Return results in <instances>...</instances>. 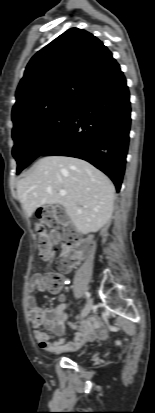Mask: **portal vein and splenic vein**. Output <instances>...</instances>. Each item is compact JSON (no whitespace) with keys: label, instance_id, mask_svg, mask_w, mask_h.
Wrapping results in <instances>:
<instances>
[{"label":"portal vein and splenic vein","instance_id":"1","mask_svg":"<svg viewBox=\"0 0 155 413\" xmlns=\"http://www.w3.org/2000/svg\"><path fill=\"white\" fill-rule=\"evenodd\" d=\"M59 194H60L61 196H65V195H66V191H65V190H60Z\"/></svg>","mask_w":155,"mask_h":413}]
</instances>
